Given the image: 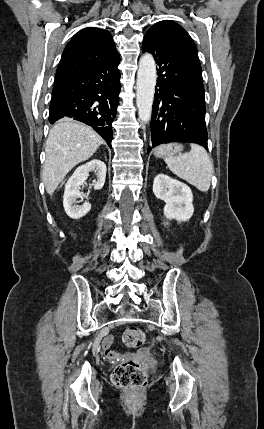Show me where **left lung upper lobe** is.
Segmentation results:
<instances>
[{
    "label": "left lung upper lobe",
    "mask_w": 264,
    "mask_h": 429,
    "mask_svg": "<svg viewBox=\"0 0 264 429\" xmlns=\"http://www.w3.org/2000/svg\"><path fill=\"white\" fill-rule=\"evenodd\" d=\"M147 32L158 34L184 47L201 69L195 44L189 34L177 23L171 20L160 21Z\"/></svg>",
    "instance_id": "obj_1"
}]
</instances>
